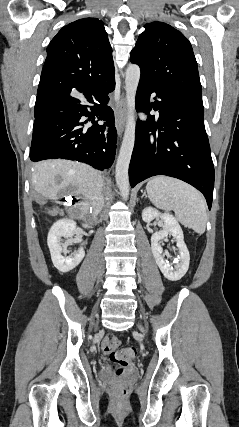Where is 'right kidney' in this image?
<instances>
[{"label": "right kidney", "instance_id": "obj_1", "mask_svg": "<svg viewBox=\"0 0 239 427\" xmlns=\"http://www.w3.org/2000/svg\"><path fill=\"white\" fill-rule=\"evenodd\" d=\"M83 227L87 228L86 224ZM77 229L76 222L72 219H61L53 224L51 227L47 244L50 250L51 259L54 266L63 273L69 272L80 264L85 256V251L80 248L78 251L73 252L70 256L66 257L67 245L62 244V237L71 238Z\"/></svg>", "mask_w": 239, "mask_h": 427}]
</instances>
